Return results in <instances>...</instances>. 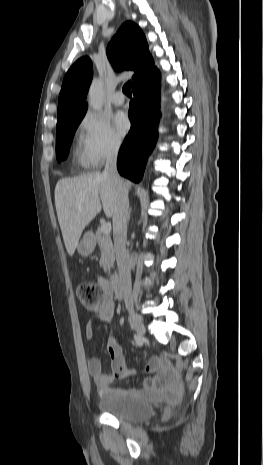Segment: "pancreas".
<instances>
[{"mask_svg": "<svg viewBox=\"0 0 263 465\" xmlns=\"http://www.w3.org/2000/svg\"><path fill=\"white\" fill-rule=\"evenodd\" d=\"M96 242L101 251L100 266L105 272H110L115 261L114 248L109 234L102 232L101 228L96 230Z\"/></svg>", "mask_w": 263, "mask_h": 465, "instance_id": "pancreas-1", "label": "pancreas"}]
</instances>
